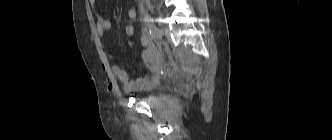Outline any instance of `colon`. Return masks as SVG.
<instances>
[{"instance_id":"1","label":"colon","mask_w":332,"mask_h":140,"mask_svg":"<svg viewBox=\"0 0 332 140\" xmlns=\"http://www.w3.org/2000/svg\"><path fill=\"white\" fill-rule=\"evenodd\" d=\"M124 33L127 36H133L135 33L134 25L131 22H126L124 25Z\"/></svg>"}]
</instances>
